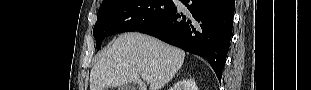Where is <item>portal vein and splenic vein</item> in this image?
Segmentation results:
<instances>
[{"label": "portal vein and splenic vein", "mask_w": 311, "mask_h": 90, "mask_svg": "<svg viewBox=\"0 0 311 90\" xmlns=\"http://www.w3.org/2000/svg\"><path fill=\"white\" fill-rule=\"evenodd\" d=\"M141 76H142V78H143L144 80H146L147 82L150 81V77H149L147 74H141Z\"/></svg>", "instance_id": "obj_1"}]
</instances>
